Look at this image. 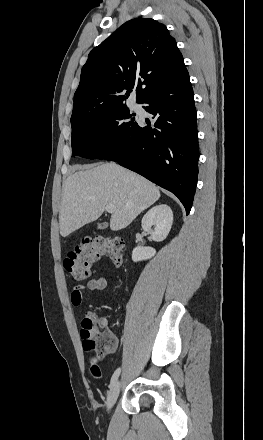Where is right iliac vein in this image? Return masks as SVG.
<instances>
[{"instance_id": "1", "label": "right iliac vein", "mask_w": 263, "mask_h": 440, "mask_svg": "<svg viewBox=\"0 0 263 440\" xmlns=\"http://www.w3.org/2000/svg\"><path fill=\"white\" fill-rule=\"evenodd\" d=\"M120 381H115V383L112 385L108 397H107V402H106V406H107V410L110 411L111 408L113 407L114 403L117 400V397L119 395L120 392Z\"/></svg>"}]
</instances>
